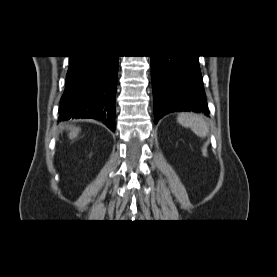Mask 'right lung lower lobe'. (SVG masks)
Segmentation results:
<instances>
[{"mask_svg":"<svg viewBox=\"0 0 277 277\" xmlns=\"http://www.w3.org/2000/svg\"><path fill=\"white\" fill-rule=\"evenodd\" d=\"M116 55L70 56L59 121L93 118L115 130Z\"/></svg>","mask_w":277,"mask_h":277,"instance_id":"right-lung-lower-lobe-1","label":"right lung lower lobe"}]
</instances>
